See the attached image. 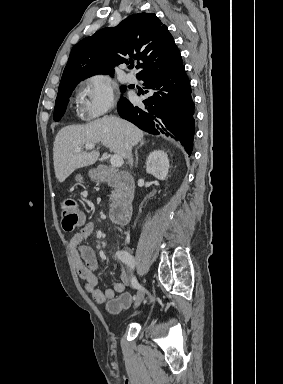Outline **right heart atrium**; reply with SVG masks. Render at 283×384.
I'll use <instances>...</instances> for the list:
<instances>
[{"label":"right heart atrium","mask_w":283,"mask_h":384,"mask_svg":"<svg viewBox=\"0 0 283 384\" xmlns=\"http://www.w3.org/2000/svg\"><path fill=\"white\" fill-rule=\"evenodd\" d=\"M78 115L88 123H97L116 104L113 83L101 74H92L77 85Z\"/></svg>","instance_id":"d8ad5b80"}]
</instances>
